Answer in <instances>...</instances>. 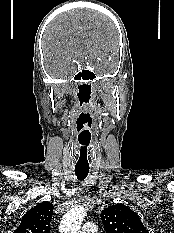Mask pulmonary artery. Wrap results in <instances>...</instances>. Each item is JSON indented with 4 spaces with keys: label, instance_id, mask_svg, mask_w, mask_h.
I'll return each instance as SVG.
<instances>
[{
    "label": "pulmonary artery",
    "instance_id": "pulmonary-artery-1",
    "mask_svg": "<svg viewBox=\"0 0 174 233\" xmlns=\"http://www.w3.org/2000/svg\"><path fill=\"white\" fill-rule=\"evenodd\" d=\"M82 233H97V229L94 223H85L82 227Z\"/></svg>",
    "mask_w": 174,
    "mask_h": 233
}]
</instances>
